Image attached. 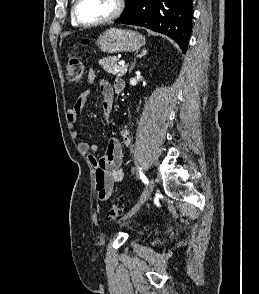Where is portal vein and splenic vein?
<instances>
[{
  "mask_svg": "<svg viewBox=\"0 0 259 294\" xmlns=\"http://www.w3.org/2000/svg\"><path fill=\"white\" fill-rule=\"evenodd\" d=\"M118 64H119L120 66H125V61L121 60V61L118 62Z\"/></svg>",
  "mask_w": 259,
  "mask_h": 294,
  "instance_id": "portal-vein-and-splenic-vein-1",
  "label": "portal vein and splenic vein"
}]
</instances>
